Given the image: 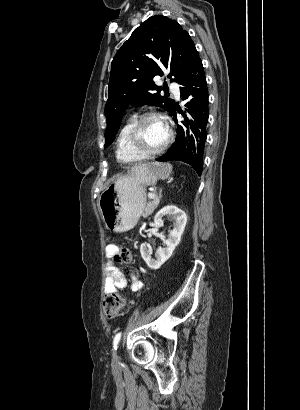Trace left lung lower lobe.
I'll list each match as a JSON object with an SVG mask.
<instances>
[{
	"label": "left lung lower lobe",
	"mask_w": 300,
	"mask_h": 410,
	"mask_svg": "<svg viewBox=\"0 0 300 410\" xmlns=\"http://www.w3.org/2000/svg\"><path fill=\"white\" fill-rule=\"evenodd\" d=\"M182 100L190 120L185 113L181 114L186 121L182 123L184 129L178 125L177 138L171 148L158 161H183L191 165L200 176L203 170V152L207 138L206 125L208 122V88L202 61L198 54L195 55L187 73L178 82ZM176 120V110L171 113Z\"/></svg>",
	"instance_id": "left-lung-lower-lobe-1"
}]
</instances>
